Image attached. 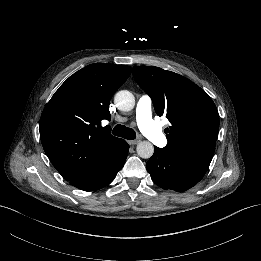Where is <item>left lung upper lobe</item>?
I'll list each match as a JSON object with an SVG mask.
<instances>
[{"label": "left lung upper lobe", "instance_id": "obj_1", "mask_svg": "<svg viewBox=\"0 0 261 261\" xmlns=\"http://www.w3.org/2000/svg\"><path fill=\"white\" fill-rule=\"evenodd\" d=\"M133 76L151 97L156 114L171 123L165 149L212 158L219 115L209 95L186 77L158 67L134 66Z\"/></svg>", "mask_w": 261, "mask_h": 261}]
</instances>
